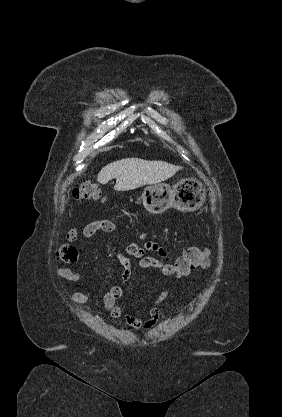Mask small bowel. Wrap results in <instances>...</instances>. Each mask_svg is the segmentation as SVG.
I'll return each mask as SVG.
<instances>
[{"mask_svg": "<svg viewBox=\"0 0 282 417\" xmlns=\"http://www.w3.org/2000/svg\"><path fill=\"white\" fill-rule=\"evenodd\" d=\"M118 231L117 224L109 219H99L89 222L83 228L82 234L85 238H91L97 233H107L113 234ZM79 237V230L77 227H72L68 230L66 238L69 242H76ZM146 234L142 233L140 239H145ZM145 251L155 252L160 255L162 258L168 259L170 257L169 253L160 245L155 242L147 241L143 245H139L135 242H131L126 253L122 251H117L116 256L123 268L121 273L122 284L127 283L132 277V261L130 257L136 258L139 260V267L142 269H158L164 270L167 266L166 263L153 258L144 256ZM57 277L70 282H78L82 275L80 272L74 271L69 268L60 267L55 270ZM171 293L168 290L162 291L158 294L155 305L150 307L148 310L149 316L146 320H141L140 318L124 314L123 310L119 304V300L122 296L121 286H113L103 297V302L106 309L109 311L112 317L116 319H123V322L130 328L149 331L155 327L159 320L164 318L165 313L161 305L167 301ZM92 296L91 291L86 292H74L72 293L70 299L74 304H83L86 303ZM120 324V323H119Z\"/></svg>", "mask_w": 282, "mask_h": 417, "instance_id": "small-bowel-1", "label": "small bowel"}]
</instances>
